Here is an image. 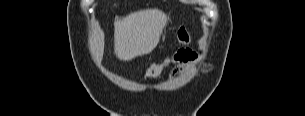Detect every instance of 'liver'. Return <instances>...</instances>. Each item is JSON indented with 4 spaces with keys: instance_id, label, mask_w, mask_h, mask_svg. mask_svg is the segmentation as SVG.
Segmentation results:
<instances>
[{
    "instance_id": "obj_1",
    "label": "liver",
    "mask_w": 305,
    "mask_h": 116,
    "mask_svg": "<svg viewBox=\"0 0 305 116\" xmlns=\"http://www.w3.org/2000/svg\"><path fill=\"white\" fill-rule=\"evenodd\" d=\"M167 16L158 9L140 10L114 22V53L122 61H130L150 53L156 46ZM89 48L96 63L104 53V32L98 22L89 38Z\"/></svg>"
}]
</instances>
